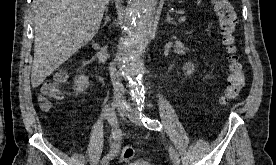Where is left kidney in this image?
I'll list each match as a JSON object with an SVG mask.
<instances>
[{"instance_id": "left-kidney-1", "label": "left kidney", "mask_w": 276, "mask_h": 165, "mask_svg": "<svg viewBox=\"0 0 276 165\" xmlns=\"http://www.w3.org/2000/svg\"><path fill=\"white\" fill-rule=\"evenodd\" d=\"M183 71L187 74V75H191L193 74V72L195 71V66L193 63L188 62L186 64H184L183 66Z\"/></svg>"}]
</instances>
